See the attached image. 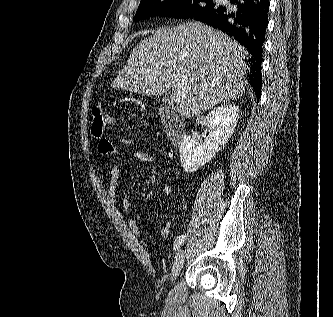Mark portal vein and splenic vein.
<instances>
[{"label": "portal vein and splenic vein", "mask_w": 333, "mask_h": 317, "mask_svg": "<svg viewBox=\"0 0 333 317\" xmlns=\"http://www.w3.org/2000/svg\"><path fill=\"white\" fill-rule=\"evenodd\" d=\"M185 96V93L181 90V88L177 87L175 90V96H174V100L175 102L179 103L183 100Z\"/></svg>", "instance_id": "obj_1"}]
</instances>
